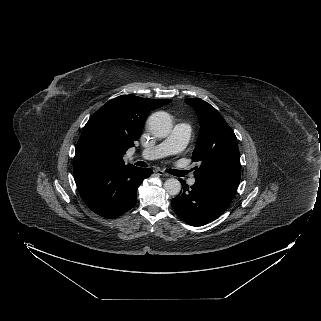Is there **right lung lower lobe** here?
I'll use <instances>...</instances> for the list:
<instances>
[{
  "label": "right lung lower lobe",
  "mask_w": 321,
  "mask_h": 321,
  "mask_svg": "<svg viewBox=\"0 0 321 321\" xmlns=\"http://www.w3.org/2000/svg\"><path fill=\"white\" fill-rule=\"evenodd\" d=\"M151 174V169L122 165L81 173L74 178L83 201L93 212L116 218L135 206L137 188Z\"/></svg>",
  "instance_id": "98d812e1"
}]
</instances>
